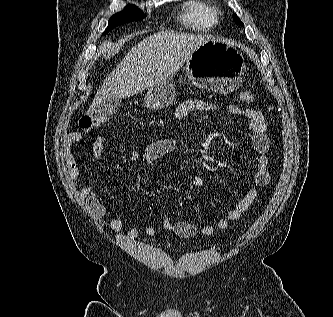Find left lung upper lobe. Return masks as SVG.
<instances>
[{
	"mask_svg": "<svg viewBox=\"0 0 333 317\" xmlns=\"http://www.w3.org/2000/svg\"><path fill=\"white\" fill-rule=\"evenodd\" d=\"M233 20H234L236 23H238V24L244 26L243 23L241 22V20L239 19V17H238L236 14L233 15Z\"/></svg>",
	"mask_w": 333,
	"mask_h": 317,
	"instance_id": "obj_1",
	"label": "left lung upper lobe"
}]
</instances>
